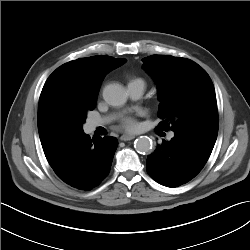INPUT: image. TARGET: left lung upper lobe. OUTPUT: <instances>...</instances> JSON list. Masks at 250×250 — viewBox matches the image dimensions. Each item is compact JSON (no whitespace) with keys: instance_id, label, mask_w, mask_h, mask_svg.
I'll return each mask as SVG.
<instances>
[{"instance_id":"5c2ea615","label":"left lung upper lobe","mask_w":250,"mask_h":250,"mask_svg":"<svg viewBox=\"0 0 250 250\" xmlns=\"http://www.w3.org/2000/svg\"><path fill=\"white\" fill-rule=\"evenodd\" d=\"M144 70L154 79L159 92L158 128L175 132L218 126L213 83L197 63L169 55L143 58Z\"/></svg>"}]
</instances>
